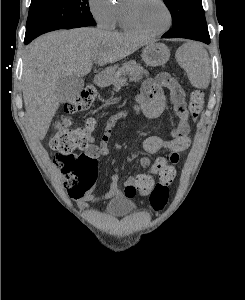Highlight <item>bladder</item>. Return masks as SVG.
Segmentation results:
<instances>
[{
	"label": "bladder",
	"instance_id": "31cf9c89",
	"mask_svg": "<svg viewBox=\"0 0 245 300\" xmlns=\"http://www.w3.org/2000/svg\"><path fill=\"white\" fill-rule=\"evenodd\" d=\"M136 209V205L129 198L121 197L108 203L105 212L112 216H123Z\"/></svg>",
	"mask_w": 245,
	"mask_h": 300
}]
</instances>
